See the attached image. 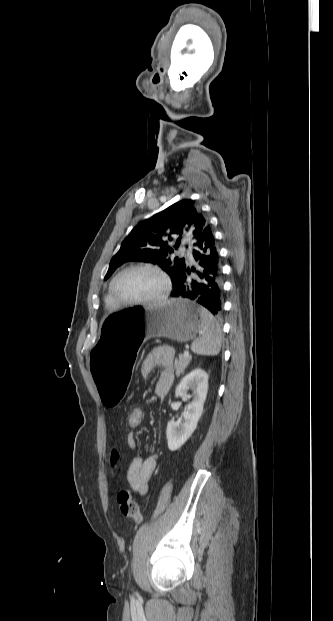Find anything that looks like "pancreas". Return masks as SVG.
I'll list each match as a JSON object with an SVG mask.
<instances>
[{
  "instance_id": "obj_1",
  "label": "pancreas",
  "mask_w": 333,
  "mask_h": 621,
  "mask_svg": "<svg viewBox=\"0 0 333 621\" xmlns=\"http://www.w3.org/2000/svg\"><path fill=\"white\" fill-rule=\"evenodd\" d=\"M191 361V357H185L183 355H179L178 358H175L174 361V368H175V373L178 376L181 372H183L185 370V368L188 366V364Z\"/></svg>"
}]
</instances>
